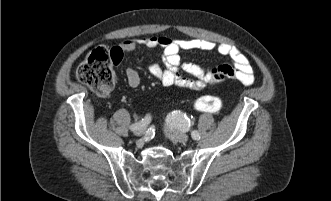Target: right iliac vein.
Instances as JSON below:
<instances>
[{
  "mask_svg": "<svg viewBox=\"0 0 331 201\" xmlns=\"http://www.w3.org/2000/svg\"><path fill=\"white\" fill-rule=\"evenodd\" d=\"M144 132H145L144 127H138L136 130H134V134L137 136L144 134Z\"/></svg>",
  "mask_w": 331,
  "mask_h": 201,
  "instance_id": "1",
  "label": "right iliac vein"
}]
</instances>
